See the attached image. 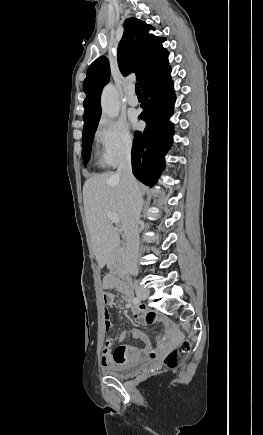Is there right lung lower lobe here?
Segmentation results:
<instances>
[{
    "label": "right lung lower lobe",
    "mask_w": 263,
    "mask_h": 435,
    "mask_svg": "<svg viewBox=\"0 0 263 435\" xmlns=\"http://www.w3.org/2000/svg\"><path fill=\"white\" fill-rule=\"evenodd\" d=\"M168 66L142 88L144 102L139 118L146 122L143 132L136 131L132 149V171L146 185H153L164 169V156L171 147L175 95Z\"/></svg>",
    "instance_id": "right-lung-lower-lobe-1"
}]
</instances>
